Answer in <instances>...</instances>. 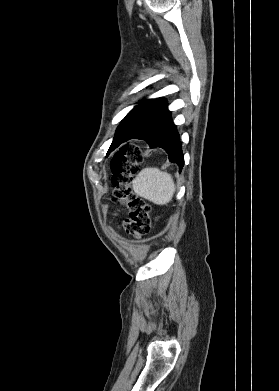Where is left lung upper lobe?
Segmentation results:
<instances>
[{
  "label": "left lung upper lobe",
  "instance_id": "5c2ea615",
  "mask_svg": "<svg viewBox=\"0 0 279 391\" xmlns=\"http://www.w3.org/2000/svg\"><path fill=\"white\" fill-rule=\"evenodd\" d=\"M168 112L167 101L164 98L141 101L121 121L108 152L118 147L126 135L141 133Z\"/></svg>",
  "mask_w": 279,
  "mask_h": 391
}]
</instances>
